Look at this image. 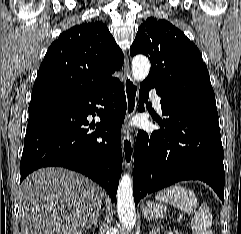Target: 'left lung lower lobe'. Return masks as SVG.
I'll return each instance as SVG.
<instances>
[{"instance_id": "1", "label": "left lung lower lobe", "mask_w": 241, "mask_h": 234, "mask_svg": "<svg viewBox=\"0 0 241 234\" xmlns=\"http://www.w3.org/2000/svg\"><path fill=\"white\" fill-rule=\"evenodd\" d=\"M161 97L163 120L155 119L161 131L150 138L139 131L134 148L133 194L135 205L145 195L178 181L198 179L209 184L224 202V151L216 110L164 95L152 82L143 81L140 105L148 90Z\"/></svg>"}]
</instances>
